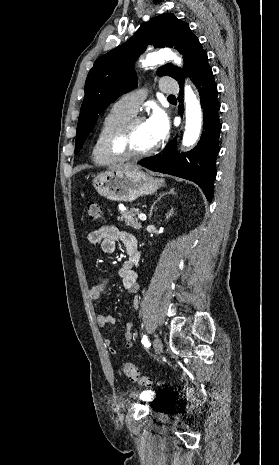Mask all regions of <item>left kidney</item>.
Returning a JSON list of instances; mask_svg holds the SVG:
<instances>
[{
	"label": "left kidney",
	"mask_w": 279,
	"mask_h": 465,
	"mask_svg": "<svg viewBox=\"0 0 279 465\" xmlns=\"http://www.w3.org/2000/svg\"><path fill=\"white\" fill-rule=\"evenodd\" d=\"M172 212V211H171ZM171 212L169 213V215H167V218L171 216Z\"/></svg>",
	"instance_id": "left-kidney-1"
}]
</instances>
